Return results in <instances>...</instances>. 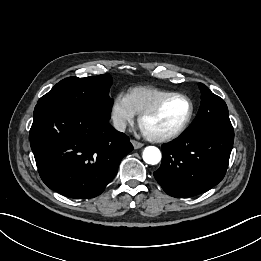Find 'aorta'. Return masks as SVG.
<instances>
[{
  "instance_id": "1",
  "label": "aorta",
  "mask_w": 261,
  "mask_h": 261,
  "mask_svg": "<svg viewBox=\"0 0 261 261\" xmlns=\"http://www.w3.org/2000/svg\"><path fill=\"white\" fill-rule=\"evenodd\" d=\"M143 160L147 164L156 165L161 160V152L155 146H148L143 151Z\"/></svg>"
}]
</instances>
